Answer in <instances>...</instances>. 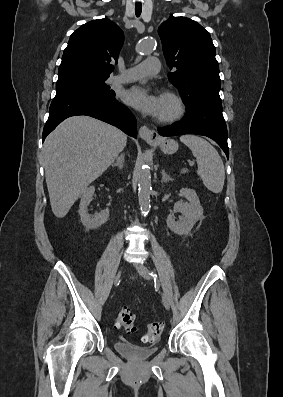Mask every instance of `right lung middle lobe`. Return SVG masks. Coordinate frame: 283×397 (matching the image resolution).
<instances>
[{
	"instance_id": "right-lung-middle-lobe-1",
	"label": "right lung middle lobe",
	"mask_w": 283,
	"mask_h": 397,
	"mask_svg": "<svg viewBox=\"0 0 283 397\" xmlns=\"http://www.w3.org/2000/svg\"><path fill=\"white\" fill-rule=\"evenodd\" d=\"M108 76H83L76 75L64 79H58L56 83V95L71 92L92 93L104 97L114 98L115 92L105 84Z\"/></svg>"
}]
</instances>
